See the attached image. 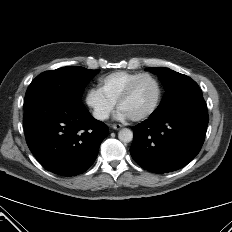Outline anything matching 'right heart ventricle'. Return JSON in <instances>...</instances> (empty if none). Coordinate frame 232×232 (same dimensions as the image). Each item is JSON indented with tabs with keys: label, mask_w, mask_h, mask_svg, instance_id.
I'll list each match as a JSON object with an SVG mask.
<instances>
[{
	"label": "right heart ventricle",
	"mask_w": 232,
	"mask_h": 232,
	"mask_svg": "<svg viewBox=\"0 0 232 232\" xmlns=\"http://www.w3.org/2000/svg\"><path fill=\"white\" fill-rule=\"evenodd\" d=\"M141 73L117 71L99 79L98 88L112 103L116 104L130 82Z\"/></svg>",
	"instance_id": "right-heart-ventricle-1"
}]
</instances>
